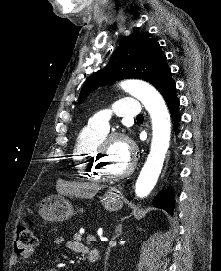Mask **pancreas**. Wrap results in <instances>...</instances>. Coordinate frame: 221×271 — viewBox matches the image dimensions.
Listing matches in <instances>:
<instances>
[{
  "label": "pancreas",
  "mask_w": 221,
  "mask_h": 271,
  "mask_svg": "<svg viewBox=\"0 0 221 271\" xmlns=\"http://www.w3.org/2000/svg\"><path fill=\"white\" fill-rule=\"evenodd\" d=\"M73 242H82L84 239L82 237H73Z\"/></svg>",
  "instance_id": "1"
}]
</instances>
